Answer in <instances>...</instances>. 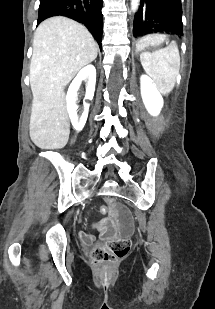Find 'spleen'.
I'll use <instances>...</instances> for the list:
<instances>
[{"label": "spleen", "instance_id": "1", "mask_svg": "<svg viewBox=\"0 0 215 309\" xmlns=\"http://www.w3.org/2000/svg\"><path fill=\"white\" fill-rule=\"evenodd\" d=\"M140 62L162 94L173 90L180 68V54L176 42H170L165 48L154 52H141Z\"/></svg>", "mask_w": 215, "mask_h": 309}]
</instances>
